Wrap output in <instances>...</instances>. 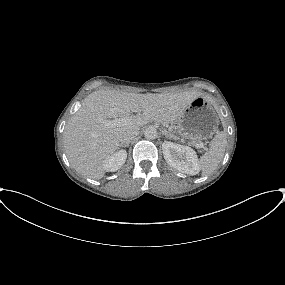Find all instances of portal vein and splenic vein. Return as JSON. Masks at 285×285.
Returning <instances> with one entry per match:
<instances>
[{
	"label": "portal vein and splenic vein",
	"instance_id": "obj_1",
	"mask_svg": "<svg viewBox=\"0 0 285 285\" xmlns=\"http://www.w3.org/2000/svg\"><path fill=\"white\" fill-rule=\"evenodd\" d=\"M130 120H131V118L124 117V118H117V119H113V120H107V121H104L103 123L106 126H118V125L127 123ZM192 145L195 147H203L204 146V144L202 142H199V143L194 142V143H192Z\"/></svg>",
	"mask_w": 285,
	"mask_h": 285
}]
</instances>
